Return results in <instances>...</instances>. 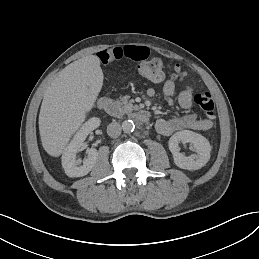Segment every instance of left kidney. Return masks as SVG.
<instances>
[{
  "label": "left kidney",
  "mask_w": 259,
  "mask_h": 259,
  "mask_svg": "<svg viewBox=\"0 0 259 259\" xmlns=\"http://www.w3.org/2000/svg\"><path fill=\"white\" fill-rule=\"evenodd\" d=\"M191 143L197 154L186 157L180 153L179 143ZM169 150L173 154L175 164L181 169L198 170L210 159L211 146L209 141L202 135L193 131L183 130L176 132L169 139Z\"/></svg>",
  "instance_id": "5707ae66"
}]
</instances>
